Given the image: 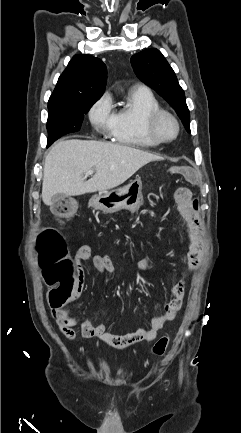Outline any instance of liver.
Instances as JSON below:
<instances>
[{"label": "liver", "mask_w": 241, "mask_h": 433, "mask_svg": "<svg viewBox=\"0 0 241 433\" xmlns=\"http://www.w3.org/2000/svg\"><path fill=\"white\" fill-rule=\"evenodd\" d=\"M162 158L128 146L87 140L60 141L45 157L42 200L50 205L53 195L78 196L113 189L141 167ZM95 174L84 181L88 170Z\"/></svg>", "instance_id": "1"}]
</instances>
